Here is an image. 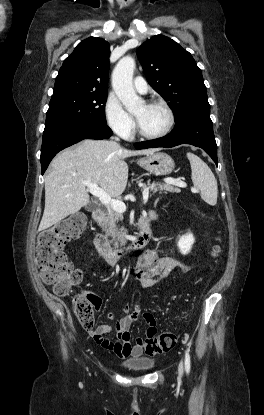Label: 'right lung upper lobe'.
<instances>
[{
	"label": "right lung upper lobe",
	"mask_w": 264,
	"mask_h": 415,
	"mask_svg": "<svg viewBox=\"0 0 264 415\" xmlns=\"http://www.w3.org/2000/svg\"><path fill=\"white\" fill-rule=\"evenodd\" d=\"M110 45L101 38L80 42L63 62L53 95L66 92H107Z\"/></svg>",
	"instance_id": "1"
}]
</instances>
